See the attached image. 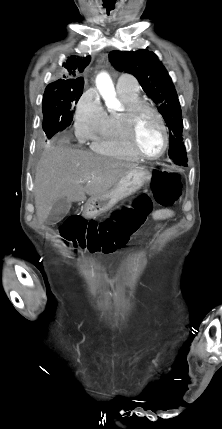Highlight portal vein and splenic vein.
<instances>
[{"instance_id": "18ae733b", "label": "portal vein and splenic vein", "mask_w": 222, "mask_h": 429, "mask_svg": "<svg viewBox=\"0 0 222 429\" xmlns=\"http://www.w3.org/2000/svg\"><path fill=\"white\" fill-rule=\"evenodd\" d=\"M82 182H89V180H85V181H82Z\"/></svg>"}]
</instances>
